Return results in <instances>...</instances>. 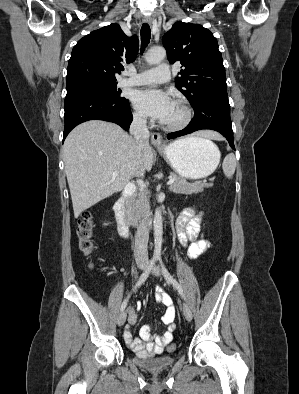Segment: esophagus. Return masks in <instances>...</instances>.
I'll return each instance as SVG.
<instances>
[{"label":"esophagus","instance_id":"esophagus-1","mask_svg":"<svg viewBox=\"0 0 299 394\" xmlns=\"http://www.w3.org/2000/svg\"><path fill=\"white\" fill-rule=\"evenodd\" d=\"M143 22L146 24H151L152 20L150 17H145ZM151 142L157 148H162L165 146L162 136L156 132L151 133Z\"/></svg>","mask_w":299,"mask_h":394}]
</instances>
